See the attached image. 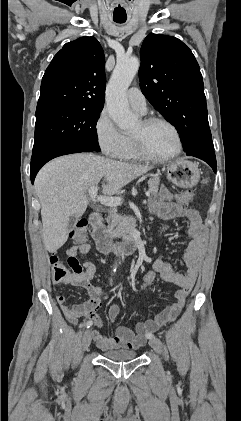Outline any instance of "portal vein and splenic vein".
I'll list each match as a JSON object with an SVG mask.
<instances>
[{
    "label": "portal vein and splenic vein",
    "instance_id": "portal-vein-and-splenic-vein-1",
    "mask_svg": "<svg viewBox=\"0 0 241 421\" xmlns=\"http://www.w3.org/2000/svg\"><path fill=\"white\" fill-rule=\"evenodd\" d=\"M98 189L95 186H92L88 190V194L91 199L97 200L101 204L109 207H117L122 205L123 201L120 197H109V196H98L97 195ZM146 196L150 195V192H145Z\"/></svg>",
    "mask_w": 241,
    "mask_h": 421
}]
</instances>
